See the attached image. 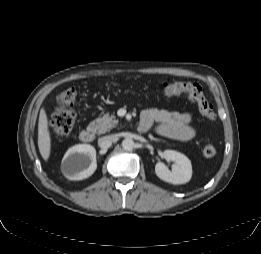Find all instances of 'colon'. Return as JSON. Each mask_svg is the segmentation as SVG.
Segmentation results:
<instances>
[{
  "mask_svg": "<svg viewBox=\"0 0 261 254\" xmlns=\"http://www.w3.org/2000/svg\"><path fill=\"white\" fill-rule=\"evenodd\" d=\"M161 92L165 98L177 95H186L189 100L195 102L200 113L208 120H214L216 113L213 105L206 99L202 87L193 82L187 81H165L161 85ZM77 98V89L74 87L61 91L57 96V106L53 112L50 124L54 132L59 136H66L71 133L76 114L72 107ZM204 156L212 158L217 154L213 145H207L203 149Z\"/></svg>",
  "mask_w": 261,
  "mask_h": 254,
  "instance_id": "5ec220e1",
  "label": "colon"
}]
</instances>
